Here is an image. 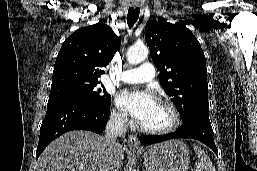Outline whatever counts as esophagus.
Wrapping results in <instances>:
<instances>
[{"label":"esophagus","instance_id":"1","mask_svg":"<svg viewBox=\"0 0 257 171\" xmlns=\"http://www.w3.org/2000/svg\"><path fill=\"white\" fill-rule=\"evenodd\" d=\"M138 3H133V6H137ZM129 148L132 151H139L140 150V143L138 137L135 134L129 135Z\"/></svg>","mask_w":257,"mask_h":171}]
</instances>
